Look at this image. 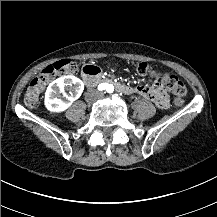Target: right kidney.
Returning <instances> with one entry per match:
<instances>
[{
  "label": "right kidney",
  "mask_w": 217,
  "mask_h": 217,
  "mask_svg": "<svg viewBox=\"0 0 217 217\" xmlns=\"http://www.w3.org/2000/svg\"><path fill=\"white\" fill-rule=\"evenodd\" d=\"M65 89L71 91L73 96L61 98L60 93H63ZM83 90L84 84L79 78L73 75L62 76L48 86L45 93V106L52 112L64 111L80 97Z\"/></svg>",
  "instance_id": "obj_1"
}]
</instances>
